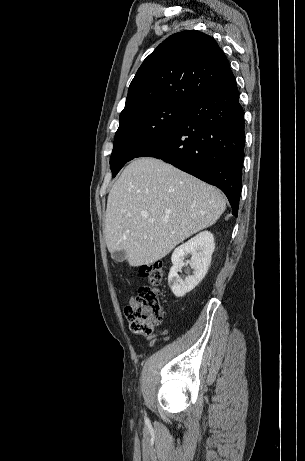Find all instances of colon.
Returning <instances> with one entry per match:
<instances>
[{
	"instance_id": "obj_1",
	"label": "colon",
	"mask_w": 305,
	"mask_h": 461,
	"mask_svg": "<svg viewBox=\"0 0 305 461\" xmlns=\"http://www.w3.org/2000/svg\"><path fill=\"white\" fill-rule=\"evenodd\" d=\"M140 273L150 284L139 288L137 296L126 305L125 316L131 331L151 334L163 320L161 293L158 286L165 276L166 265L161 261H155L143 266Z\"/></svg>"
}]
</instances>
